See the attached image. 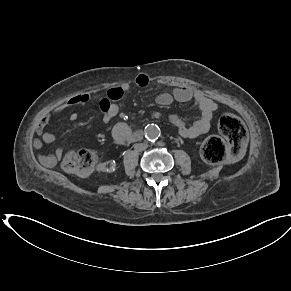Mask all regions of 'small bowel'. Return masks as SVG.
<instances>
[{"mask_svg":"<svg viewBox=\"0 0 291 291\" xmlns=\"http://www.w3.org/2000/svg\"><path fill=\"white\" fill-rule=\"evenodd\" d=\"M149 83V77L145 74H138L135 77V84L139 87H147ZM130 88L131 84L129 82H123L110 88L106 97L101 99L100 110L102 113V120L105 124L109 123L110 120L120 111L124 104L125 95ZM89 101L90 95L88 93L79 94L59 104L45 114L36 126V134L41 138V140L35 139L34 146L40 148L42 142L46 144L54 143L56 137L53 133L45 129L46 125L64 110L70 107L86 104ZM155 101L160 106H168L173 101H193L194 105L201 112L200 117L195 122L187 124L182 118L176 115L170 117L171 121L177 126L179 134L184 138H195L207 133L212 125L214 112L217 109L216 103L206 97L203 92L188 86H178L172 91V93H160L156 96ZM69 118L72 122H76L79 119V115L78 113L73 112ZM133 133L134 132L130 126L125 122L116 123L112 128L114 139L121 144L132 142ZM63 154V148L59 147L52 156H40V161L45 165H51L54 161H59L63 157Z\"/></svg>","mask_w":291,"mask_h":291,"instance_id":"small-bowel-1","label":"small bowel"}]
</instances>
